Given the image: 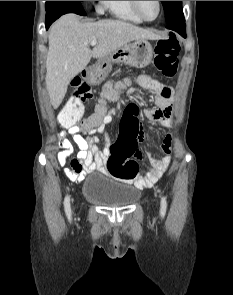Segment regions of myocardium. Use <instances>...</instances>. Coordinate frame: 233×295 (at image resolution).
<instances>
[{
    "label": "myocardium",
    "instance_id": "f54148a6",
    "mask_svg": "<svg viewBox=\"0 0 233 295\" xmlns=\"http://www.w3.org/2000/svg\"><path fill=\"white\" fill-rule=\"evenodd\" d=\"M131 3V6H132V9L133 11L137 14V16L142 20V21H145V22H152V21H155L160 13H161V9H162V6H161V1H157V6H158V10H157V14L156 16L153 18V19H147L145 18L142 13L140 12V9H139V6H138V1H130Z\"/></svg>",
    "mask_w": 233,
    "mask_h": 295
}]
</instances>
